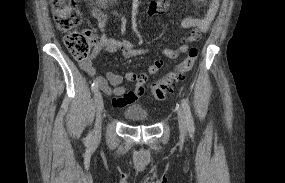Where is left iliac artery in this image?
<instances>
[{"mask_svg": "<svg viewBox=\"0 0 285 183\" xmlns=\"http://www.w3.org/2000/svg\"><path fill=\"white\" fill-rule=\"evenodd\" d=\"M181 105H182V108H183V111L185 114V119H186L188 130H189V132L192 133V132H194L195 128H194V121H193L190 106H189L188 102L184 99L181 101Z\"/></svg>", "mask_w": 285, "mask_h": 183, "instance_id": "left-iliac-artery-1", "label": "left iliac artery"}]
</instances>
